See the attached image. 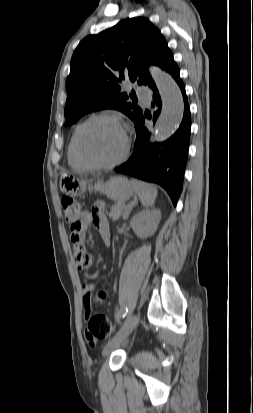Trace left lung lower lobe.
I'll return each instance as SVG.
<instances>
[{"instance_id": "left-lung-lower-lobe-1", "label": "left lung lower lobe", "mask_w": 253, "mask_h": 413, "mask_svg": "<svg viewBox=\"0 0 253 413\" xmlns=\"http://www.w3.org/2000/svg\"><path fill=\"white\" fill-rule=\"evenodd\" d=\"M164 70L171 74L182 92L184 100L182 122L175 134L167 141L151 144L149 143L150 133L144 126L145 119H150L151 115L142 112L134 122L136 125V149L128 161L115 168V171L161 185L176 206L182 191L184 171L188 159L191 116L185 87L173 56L169 59ZM150 88L153 91L151 105L156 108L153 114V122L155 123L161 112L162 102L155 83Z\"/></svg>"}]
</instances>
